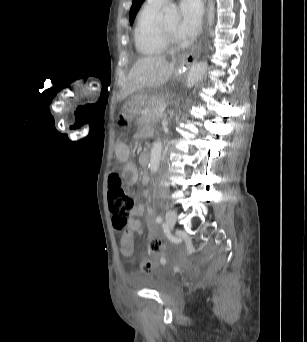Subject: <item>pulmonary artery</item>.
<instances>
[{
  "instance_id": "obj_1",
  "label": "pulmonary artery",
  "mask_w": 307,
  "mask_h": 342,
  "mask_svg": "<svg viewBox=\"0 0 307 342\" xmlns=\"http://www.w3.org/2000/svg\"><path fill=\"white\" fill-rule=\"evenodd\" d=\"M168 2L170 1H146V4L148 9L158 12Z\"/></svg>"
}]
</instances>
